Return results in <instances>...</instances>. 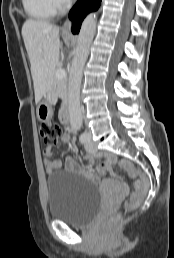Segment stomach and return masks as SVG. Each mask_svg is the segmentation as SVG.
Returning <instances> with one entry per match:
<instances>
[{"label": "stomach", "mask_w": 174, "mask_h": 258, "mask_svg": "<svg viewBox=\"0 0 174 258\" xmlns=\"http://www.w3.org/2000/svg\"><path fill=\"white\" fill-rule=\"evenodd\" d=\"M52 115L51 90H49L37 107V117L40 121H49Z\"/></svg>", "instance_id": "1"}]
</instances>
